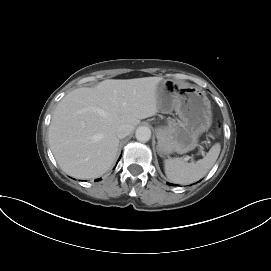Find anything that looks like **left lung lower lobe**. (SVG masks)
<instances>
[{
	"label": "left lung lower lobe",
	"instance_id": "0a47b994",
	"mask_svg": "<svg viewBox=\"0 0 271 271\" xmlns=\"http://www.w3.org/2000/svg\"><path fill=\"white\" fill-rule=\"evenodd\" d=\"M167 184H168V185H171V186L173 185V184H169V183H167Z\"/></svg>",
	"mask_w": 271,
	"mask_h": 271
}]
</instances>
